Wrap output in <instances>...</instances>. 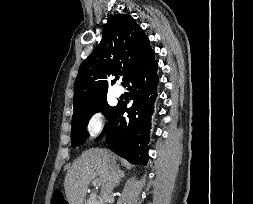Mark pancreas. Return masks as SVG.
<instances>
[{
	"mask_svg": "<svg viewBox=\"0 0 253 204\" xmlns=\"http://www.w3.org/2000/svg\"><path fill=\"white\" fill-rule=\"evenodd\" d=\"M87 204H101V203L99 201V198L96 195L92 194L90 195Z\"/></svg>",
	"mask_w": 253,
	"mask_h": 204,
	"instance_id": "obj_1",
	"label": "pancreas"
}]
</instances>
